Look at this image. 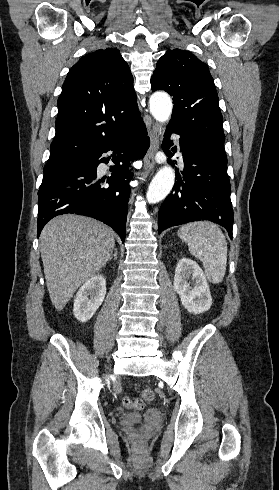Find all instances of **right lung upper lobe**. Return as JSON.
<instances>
[{
    "label": "right lung upper lobe",
    "instance_id": "1",
    "mask_svg": "<svg viewBox=\"0 0 279 490\" xmlns=\"http://www.w3.org/2000/svg\"><path fill=\"white\" fill-rule=\"evenodd\" d=\"M57 105L47 164L80 160L143 123L130 69L113 48L88 53L70 69Z\"/></svg>",
    "mask_w": 279,
    "mask_h": 490
}]
</instances>
